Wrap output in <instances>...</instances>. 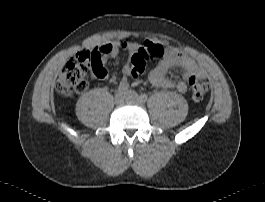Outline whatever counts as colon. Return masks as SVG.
I'll return each mask as SVG.
<instances>
[{"mask_svg":"<svg viewBox=\"0 0 265 202\" xmlns=\"http://www.w3.org/2000/svg\"><path fill=\"white\" fill-rule=\"evenodd\" d=\"M105 50H109V48L94 47L78 53L68 61L58 76L57 91L61 93L85 91L88 85L87 75L91 70L100 76L105 73V69L99 61L100 52ZM164 54L165 50L159 44H147L138 49L130 56L131 76L139 80L147 63ZM189 91L194 101H201L208 91L207 81L204 78H192L189 82Z\"/></svg>","mask_w":265,"mask_h":202,"instance_id":"colon-1","label":"colon"}]
</instances>
